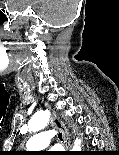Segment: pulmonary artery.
Listing matches in <instances>:
<instances>
[{"label":"pulmonary artery","mask_w":119,"mask_h":155,"mask_svg":"<svg viewBox=\"0 0 119 155\" xmlns=\"http://www.w3.org/2000/svg\"><path fill=\"white\" fill-rule=\"evenodd\" d=\"M54 135L55 132L53 130L36 133L26 142V147L30 150L44 149L49 146Z\"/></svg>","instance_id":"e3ab8cb5"}]
</instances>
